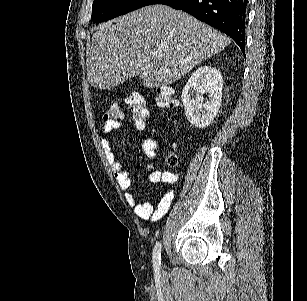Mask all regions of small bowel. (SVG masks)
Here are the masks:
<instances>
[{"label": "small bowel", "mask_w": 307, "mask_h": 301, "mask_svg": "<svg viewBox=\"0 0 307 301\" xmlns=\"http://www.w3.org/2000/svg\"><path fill=\"white\" fill-rule=\"evenodd\" d=\"M120 126L119 122H105L102 136L101 146L106 154V157L111 165L112 172L121 190L125 192L126 202L134 207L136 216L143 220L158 221L170 209L175 196V184L177 175L170 171H161L155 168L152 161L156 157V149L158 142L153 138H147L143 141L142 148L144 154L150 160L147 165L148 178L153 183H164L166 188L162 196L154 202H138L136 194L130 189L132 180L129 176L125 163L119 159L115 152L110 147L109 138L111 134Z\"/></svg>", "instance_id": "c3829d8e"}]
</instances>
